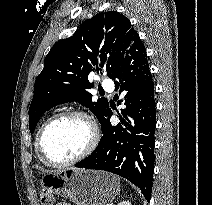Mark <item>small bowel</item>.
<instances>
[{
  "label": "small bowel",
  "instance_id": "obj_1",
  "mask_svg": "<svg viewBox=\"0 0 212 205\" xmlns=\"http://www.w3.org/2000/svg\"><path fill=\"white\" fill-rule=\"evenodd\" d=\"M57 205H70V204H68V203H59Z\"/></svg>",
  "mask_w": 212,
  "mask_h": 205
}]
</instances>
